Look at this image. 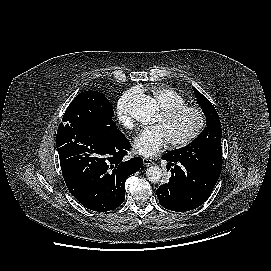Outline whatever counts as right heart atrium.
Instances as JSON below:
<instances>
[{"mask_svg":"<svg viewBox=\"0 0 271 271\" xmlns=\"http://www.w3.org/2000/svg\"><path fill=\"white\" fill-rule=\"evenodd\" d=\"M137 95V90L132 89L123 93L116 103V117L120 125L126 129L134 127V121L129 111L132 99Z\"/></svg>","mask_w":271,"mask_h":271,"instance_id":"1","label":"right heart atrium"}]
</instances>
